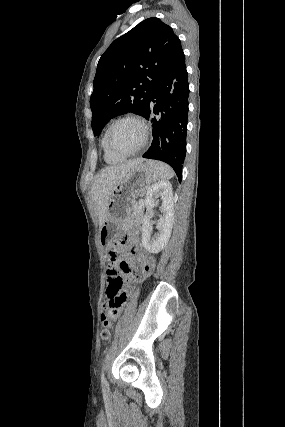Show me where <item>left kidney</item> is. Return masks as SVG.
I'll list each match as a JSON object with an SVG mask.
<instances>
[{
    "label": "left kidney",
    "instance_id": "obj_1",
    "mask_svg": "<svg viewBox=\"0 0 285 427\" xmlns=\"http://www.w3.org/2000/svg\"><path fill=\"white\" fill-rule=\"evenodd\" d=\"M159 197L162 200L160 207L162 215L157 224L158 233L151 236L152 226L148 213L145 214L142 222V245L150 253H158L165 247L170 238L174 221V201L170 182L160 181L149 187L144 201L148 211L154 208L155 200Z\"/></svg>",
    "mask_w": 285,
    "mask_h": 427
}]
</instances>
